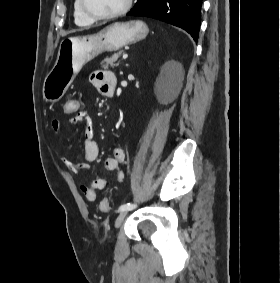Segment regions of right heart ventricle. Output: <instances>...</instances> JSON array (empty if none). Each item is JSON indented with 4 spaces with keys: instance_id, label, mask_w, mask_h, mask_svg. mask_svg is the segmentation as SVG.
<instances>
[{
    "instance_id": "obj_1",
    "label": "right heart ventricle",
    "mask_w": 280,
    "mask_h": 283,
    "mask_svg": "<svg viewBox=\"0 0 280 283\" xmlns=\"http://www.w3.org/2000/svg\"><path fill=\"white\" fill-rule=\"evenodd\" d=\"M73 17H74L75 24L78 26H88L94 22L93 20L88 18L82 11L80 0H74Z\"/></svg>"
}]
</instances>
